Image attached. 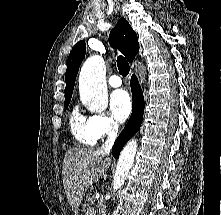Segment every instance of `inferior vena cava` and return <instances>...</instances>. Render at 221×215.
Masks as SVG:
<instances>
[{
	"mask_svg": "<svg viewBox=\"0 0 221 215\" xmlns=\"http://www.w3.org/2000/svg\"><path fill=\"white\" fill-rule=\"evenodd\" d=\"M117 132H118L117 128H113V129H111L108 132V138H107V140L105 141V143L101 147V152L104 155H109L110 154L112 146H113V144H114V142L116 140V137H117ZM101 213H102V215H105L104 211H102Z\"/></svg>",
	"mask_w": 221,
	"mask_h": 215,
	"instance_id": "inferior-vena-cava-1",
	"label": "inferior vena cava"
}]
</instances>
